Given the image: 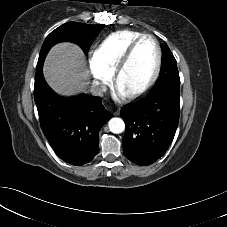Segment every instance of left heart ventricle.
Wrapping results in <instances>:
<instances>
[{
  "mask_svg": "<svg viewBox=\"0 0 227 227\" xmlns=\"http://www.w3.org/2000/svg\"><path fill=\"white\" fill-rule=\"evenodd\" d=\"M157 63L155 43L143 39L136 47L131 60L118 80V88L128 93L142 86L153 74Z\"/></svg>",
  "mask_w": 227,
  "mask_h": 227,
  "instance_id": "1",
  "label": "left heart ventricle"
}]
</instances>
